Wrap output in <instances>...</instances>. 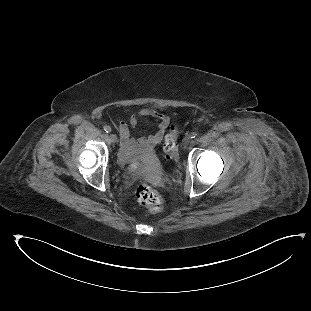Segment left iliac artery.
<instances>
[{"mask_svg": "<svg viewBox=\"0 0 311 311\" xmlns=\"http://www.w3.org/2000/svg\"><path fill=\"white\" fill-rule=\"evenodd\" d=\"M197 136V133L196 132H192L191 134H190V137L191 138H195Z\"/></svg>", "mask_w": 311, "mask_h": 311, "instance_id": "1", "label": "left iliac artery"}]
</instances>
